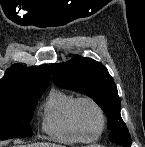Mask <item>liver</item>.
<instances>
[{
  "instance_id": "6515ba94",
  "label": "liver",
  "mask_w": 145,
  "mask_h": 147,
  "mask_svg": "<svg viewBox=\"0 0 145 147\" xmlns=\"http://www.w3.org/2000/svg\"><path fill=\"white\" fill-rule=\"evenodd\" d=\"M24 147H62L60 145L57 144H53V143H34V144H30Z\"/></svg>"
}]
</instances>
